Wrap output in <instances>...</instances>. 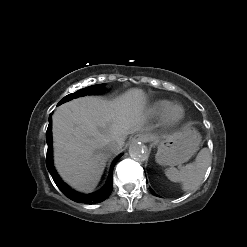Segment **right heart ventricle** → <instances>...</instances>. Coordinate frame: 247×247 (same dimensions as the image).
<instances>
[{"label":"right heart ventricle","mask_w":247,"mask_h":247,"mask_svg":"<svg viewBox=\"0 0 247 247\" xmlns=\"http://www.w3.org/2000/svg\"><path fill=\"white\" fill-rule=\"evenodd\" d=\"M171 106L168 100H159L155 102L151 108V113L155 116L163 115L164 112Z\"/></svg>","instance_id":"1"}]
</instances>
